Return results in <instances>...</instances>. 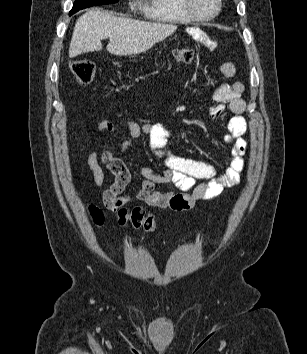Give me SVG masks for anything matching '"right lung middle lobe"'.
Listing matches in <instances>:
<instances>
[{
  "mask_svg": "<svg viewBox=\"0 0 307 354\" xmlns=\"http://www.w3.org/2000/svg\"><path fill=\"white\" fill-rule=\"evenodd\" d=\"M118 1L119 0H75L73 4V8L70 11L69 15H72L73 13L79 11L80 9H84L96 5L116 3Z\"/></svg>",
  "mask_w": 307,
  "mask_h": 354,
  "instance_id": "obj_1",
  "label": "right lung middle lobe"
}]
</instances>
